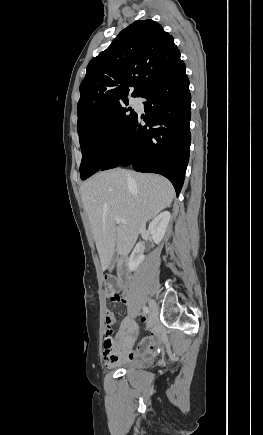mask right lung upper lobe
Instances as JSON below:
<instances>
[{
  "label": "right lung upper lobe",
  "instance_id": "1",
  "mask_svg": "<svg viewBox=\"0 0 263 435\" xmlns=\"http://www.w3.org/2000/svg\"><path fill=\"white\" fill-rule=\"evenodd\" d=\"M183 61L173 37L153 20H139L122 30L88 66L80 86L77 128L108 107L141 95Z\"/></svg>",
  "mask_w": 263,
  "mask_h": 435
}]
</instances>
